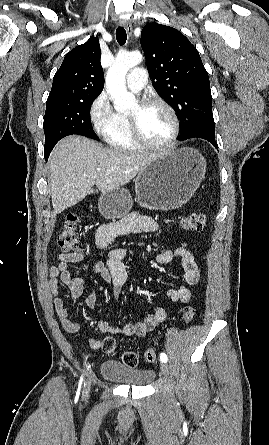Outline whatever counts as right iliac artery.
<instances>
[{
  "instance_id": "82829eb1",
  "label": "right iliac artery",
  "mask_w": 269,
  "mask_h": 445,
  "mask_svg": "<svg viewBox=\"0 0 269 445\" xmlns=\"http://www.w3.org/2000/svg\"><path fill=\"white\" fill-rule=\"evenodd\" d=\"M82 381H83V377L80 378V381H79V388L81 387Z\"/></svg>"
}]
</instances>
